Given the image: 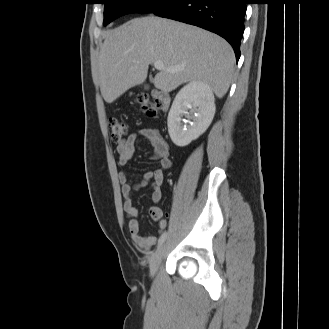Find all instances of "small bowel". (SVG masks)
I'll return each mask as SVG.
<instances>
[{"label": "small bowel", "mask_w": 329, "mask_h": 329, "mask_svg": "<svg viewBox=\"0 0 329 329\" xmlns=\"http://www.w3.org/2000/svg\"><path fill=\"white\" fill-rule=\"evenodd\" d=\"M141 139H146L150 142L153 149V159L158 161L161 167L144 172L139 182H134L133 176L123 171L119 175V181L123 198V210L129 218L128 229L131 239L138 250L149 253L151 248L156 244L157 237L140 234L137 220L138 210L132 205V195L134 191L150 184L153 190L151 195L153 205L149 208V215L152 220L157 222L158 231L162 232L166 227V220L163 219V211L158 206V203L162 198L164 170L171 166V160L169 145L161 133L155 128H140L126 139L117 143L116 151L119 165L127 166L129 164L134 155L136 143Z\"/></svg>", "instance_id": "obj_1"}]
</instances>
